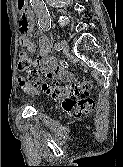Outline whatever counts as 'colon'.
<instances>
[{"label":"colon","mask_w":123,"mask_h":167,"mask_svg":"<svg viewBox=\"0 0 123 167\" xmlns=\"http://www.w3.org/2000/svg\"><path fill=\"white\" fill-rule=\"evenodd\" d=\"M30 63L28 54L21 52L18 56V66L20 70L27 71L25 81L47 95L61 98L64 110L70 115L80 117L93 109L94 101L88 96L93 87L90 79L83 78L74 83L51 82L44 79L36 69L29 68Z\"/></svg>","instance_id":"obj_1"}]
</instances>
